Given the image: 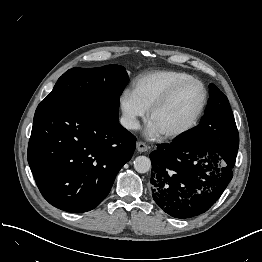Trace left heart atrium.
Returning a JSON list of instances; mask_svg holds the SVG:
<instances>
[{
	"label": "left heart atrium",
	"mask_w": 262,
	"mask_h": 262,
	"mask_svg": "<svg viewBox=\"0 0 262 262\" xmlns=\"http://www.w3.org/2000/svg\"><path fill=\"white\" fill-rule=\"evenodd\" d=\"M160 135L161 133L158 128L152 122H150L145 130V136L149 139H154Z\"/></svg>",
	"instance_id": "1"
}]
</instances>
